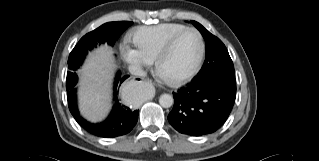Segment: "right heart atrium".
Returning a JSON list of instances; mask_svg holds the SVG:
<instances>
[{"label": "right heart atrium", "instance_id": "d8ad5b80", "mask_svg": "<svg viewBox=\"0 0 319 161\" xmlns=\"http://www.w3.org/2000/svg\"><path fill=\"white\" fill-rule=\"evenodd\" d=\"M122 51V55L124 57V59L131 64H136V65H147L149 63V61L147 59H145L137 49L132 48L130 46H123L121 48Z\"/></svg>", "mask_w": 319, "mask_h": 161}]
</instances>
